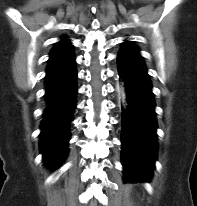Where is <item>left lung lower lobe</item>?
<instances>
[{
  "label": "left lung lower lobe",
  "instance_id": "obj_1",
  "mask_svg": "<svg viewBox=\"0 0 197 206\" xmlns=\"http://www.w3.org/2000/svg\"><path fill=\"white\" fill-rule=\"evenodd\" d=\"M117 70L124 82L127 108L122 112V164L128 182L149 181L157 152L155 101L141 56L122 45Z\"/></svg>",
  "mask_w": 197,
  "mask_h": 206
}]
</instances>
